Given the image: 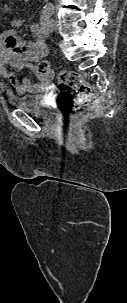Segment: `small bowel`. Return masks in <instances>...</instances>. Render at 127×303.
<instances>
[{"mask_svg": "<svg viewBox=\"0 0 127 303\" xmlns=\"http://www.w3.org/2000/svg\"><path fill=\"white\" fill-rule=\"evenodd\" d=\"M23 24L21 19L10 21L11 29L0 34V76L12 85L18 94L36 92L50 87V72L42 74L34 63L48 55L45 35L41 24L31 25L33 40H23L17 29ZM11 40H15L12 42ZM30 69L36 81L18 78V73L23 69Z\"/></svg>", "mask_w": 127, "mask_h": 303, "instance_id": "c3829d8e", "label": "small bowel"}]
</instances>
